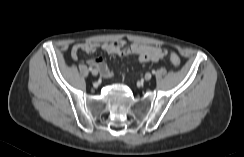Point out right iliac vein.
I'll return each instance as SVG.
<instances>
[{"instance_id":"obj_1","label":"right iliac vein","mask_w":244,"mask_h":157,"mask_svg":"<svg viewBox=\"0 0 244 157\" xmlns=\"http://www.w3.org/2000/svg\"><path fill=\"white\" fill-rule=\"evenodd\" d=\"M92 75H93V76H97V75H98V71L94 69V70L92 71Z\"/></svg>"}]
</instances>
